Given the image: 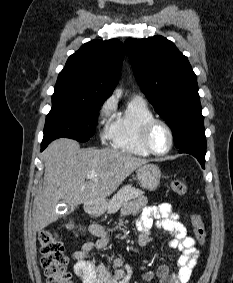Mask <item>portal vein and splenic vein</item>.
<instances>
[{
  "label": "portal vein and splenic vein",
  "instance_id": "1",
  "mask_svg": "<svg viewBox=\"0 0 233 283\" xmlns=\"http://www.w3.org/2000/svg\"><path fill=\"white\" fill-rule=\"evenodd\" d=\"M96 176H97V174L94 173V172L87 173V178H94Z\"/></svg>",
  "mask_w": 233,
  "mask_h": 283
}]
</instances>
